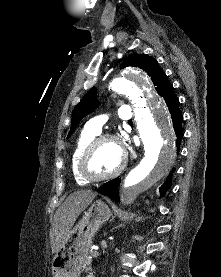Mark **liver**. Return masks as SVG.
Masks as SVG:
<instances>
[{
  "label": "liver",
  "mask_w": 221,
  "mask_h": 277,
  "mask_svg": "<svg viewBox=\"0 0 221 277\" xmlns=\"http://www.w3.org/2000/svg\"><path fill=\"white\" fill-rule=\"evenodd\" d=\"M97 196L91 190H79L68 196L65 202L57 209L52 224L50 237L52 253H56L64 241L68 238L70 231L79 214Z\"/></svg>",
  "instance_id": "1"
}]
</instances>
